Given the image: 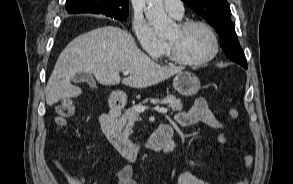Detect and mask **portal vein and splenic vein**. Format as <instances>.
Returning <instances> with one entry per match:
<instances>
[{
    "mask_svg": "<svg viewBox=\"0 0 293 184\" xmlns=\"http://www.w3.org/2000/svg\"><path fill=\"white\" fill-rule=\"evenodd\" d=\"M129 73H130L129 70H125V71L123 72V74H124L125 76L128 75ZM134 109H135V111H136L137 113H141V112L145 111L146 109H148V107H146V106H142V105H136V106H134ZM154 110H156V111H158V112H160V113H163V114H166V113L168 112V109H167V108H159V107H155Z\"/></svg>",
    "mask_w": 293,
    "mask_h": 184,
    "instance_id": "obj_1",
    "label": "portal vein and splenic vein"
}]
</instances>
